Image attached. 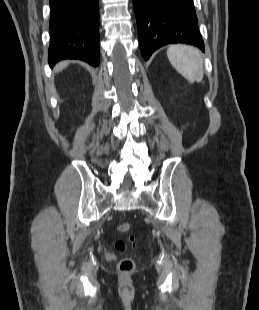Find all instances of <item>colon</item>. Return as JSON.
I'll use <instances>...</instances> for the list:
<instances>
[{"label":"colon","instance_id":"obj_1","mask_svg":"<svg viewBox=\"0 0 259 310\" xmlns=\"http://www.w3.org/2000/svg\"><path fill=\"white\" fill-rule=\"evenodd\" d=\"M118 230L122 233H127L131 230V225H130V223H127V222L121 223L118 226ZM128 241L132 245H135V243H136L134 236H129ZM115 248L118 251L123 252L126 250V244L122 240H117L115 243ZM135 266H136L135 259L132 257H125V258L121 259L118 263V269L122 272H131L135 269Z\"/></svg>","mask_w":259,"mask_h":310}]
</instances>
